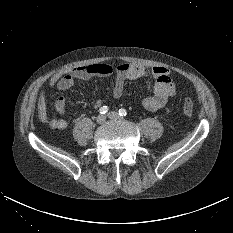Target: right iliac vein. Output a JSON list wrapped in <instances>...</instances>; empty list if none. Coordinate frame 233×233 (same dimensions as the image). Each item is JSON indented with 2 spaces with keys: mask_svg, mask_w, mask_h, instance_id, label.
Returning <instances> with one entry per match:
<instances>
[{
  "mask_svg": "<svg viewBox=\"0 0 233 233\" xmlns=\"http://www.w3.org/2000/svg\"><path fill=\"white\" fill-rule=\"evenodd\" d=\"M98 124H103L106 121V116L104 115H99L96 119Z\"/></svg>",
  "mask_w": 233,
  "mask_h": 233,
  "instance_id": "obj_1",
  "label": "right iliac vein"
}]
</instances>
